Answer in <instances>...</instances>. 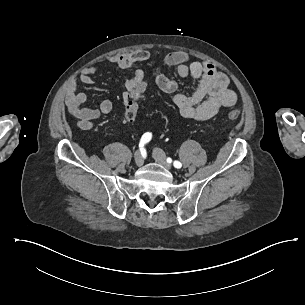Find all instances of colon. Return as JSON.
<instances>
[{
  "mask_svg": "<svg viewBox=\"0 0 305 305\" xmlns=\"http://www.w3.org/2000/svg\"><path fill=\"white\" fill-rule=\"evenodd\" d=\"M145 85L143 83H140L138 86L134 87L130 93V95L127 96L126 98V116L128 122H133L135 120V113H136V108H137V103L138 101L142 100L143 98V92H144ZM240 111L239 110H234L230 111L227 114L228 119H236L239 117Z\"/></svg>",
  "mask_w": 305,
  "mask_h": 305,
  "instance_id": "1",
  "label": "colon"
}]
</instances>
